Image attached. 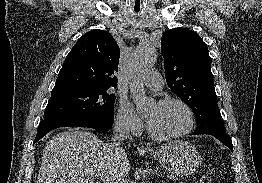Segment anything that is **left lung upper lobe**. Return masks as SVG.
Instances as JSON below:
<instances>
[{
  "label": "left lung upper lobe",
  "instance_id": "obj_1",
  "mask_svg": "<svg viewBox=\"0 0 262 183\" xmlns=\"http://www.w3.org/2000/svg\"><path fill=\"white\" fill-rule=\"evenodd\" d=\"M165 78L170 89L192 108L193 134L226 133L217 104L208 47L197 33L185 28L165 32L161 39Z\"/></svg>",
  "mask_w": 262,
  "mask_h": 183
}]
</instances>
